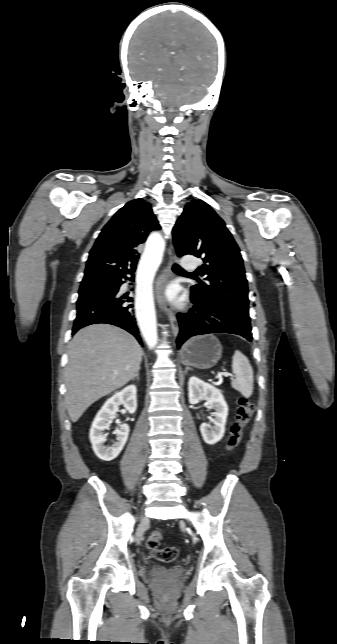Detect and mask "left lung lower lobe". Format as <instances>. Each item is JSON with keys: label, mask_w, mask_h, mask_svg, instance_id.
I'll list each match as a JSON object with an SVG mask.
<instances>
[{"label": "left lung lower lobe", "mask_w": 337, "mask_h": 644, "mask_svg": "<svg viewBox=\"0 0 337 644\" xmlns=\"http://www.w3.org/2000/svg\"><path fill=\"white\" fill-rule=\"evenodd\" d=\"M191 300L194 306L189 313L177 315L180 328L178 348L192 336L214 332L236 334L252 341L251 325L236 314L216 304H202L192 295Z\"/></svg>", "instance_id": "left-lung-lower-lobe-1"}]
</instances>
